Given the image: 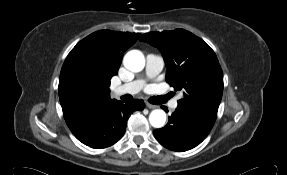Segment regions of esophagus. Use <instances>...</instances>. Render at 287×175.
Wrapping results in <instances>:
<instances>
[{
    "instance_id": "obj_1",
    "label": "esophagus",
    "mask_w": 287,
    "mask_h": 175,
    "mask_svg": "<svg viewBox=\"0 0 287 175\" xmlns=\"http://www.w3.org/2000/svg\"><path fill=\"white\" fill-rule=\"evenodd\" d=\"M146 106H147L148 108H150V109H155V108H157L156 105H153V104H151V103H149V102H146Z\"/></svg>"
}]
</instances>
